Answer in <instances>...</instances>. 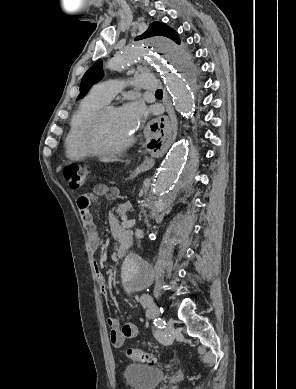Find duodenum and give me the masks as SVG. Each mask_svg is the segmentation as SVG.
<instances>
[{"instance_id": "duodenum-1", "label": "duodenum", "mask_w": 296, "mask_h": 389, "mask_svg": "<svg viewBox=\"0 0 296 389\" xmlns=\"http://www.w3.org/2000/svg\"><path fill=\"white\" fill-rule=\"evenodd\" d=\"M120 246L117 251V257H122L132 243L131 235L123 236L119 239Z\"/></svg>"}]
</instances>
